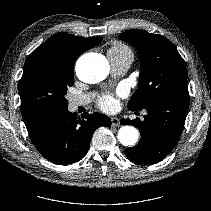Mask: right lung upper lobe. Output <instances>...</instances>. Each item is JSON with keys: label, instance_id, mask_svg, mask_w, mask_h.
Segmentation results:
<instances>
[{"label": "right lung upper lobe", "instance_id": "cb5924a9", "mask_svg": "<svg viewBox=\"0 0 211 211\" xmlns=\"http://www.w3.org/2000/svg\"><path fill=\"white\" fill-rule=\"evenodd\" d=\"M102 39L99 37L82 38L68 33H56L34 50L29 59L38 55L48 56L56 65L72 70L77 57L93 48ZM21 113L26 127L31 126L44 115L34 113L21 102Z\"/></svg>", "mask_w": 211, "mask_h": 211}]
</instances>
